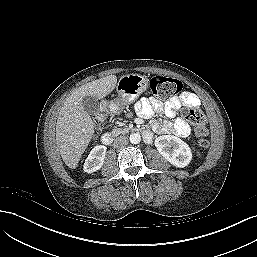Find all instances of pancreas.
<instances>
[{
    "mask_svg": "<svg viewBox=\"0 0 257 257\" xmlns=\"http://www.w3.org/2000/svg\"><path fill=\"white\" fill-rule=\"evenodd\" d=\"M130 131V128L128 127H123V128H115L112 130V134L114 136H118V135H123V134H127Z\"/></svg>",
    "mask_w": 257,
    "mask_h": 257,
    "instance_id": "pancreas-1",
    "label": "pancreas"
}]
</instances>
